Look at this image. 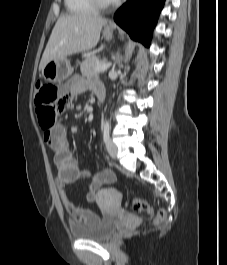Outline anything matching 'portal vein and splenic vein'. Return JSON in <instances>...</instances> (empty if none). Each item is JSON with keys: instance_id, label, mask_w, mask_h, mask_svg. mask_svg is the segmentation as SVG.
<instances>
[{"instance_id": "1", "label": "portal vein and splenic vein", "mask_w": 227, "mask_h": 265, "mask_svg": "<svg viewBox=\"0 0 227 265\" xmlns=\"http://www.w3.org/2000/svg\"><path fill=\"white\" fill-rule=\"evenodd\" d=\"M110 66H111V63H104L102 65H97L95 67V71L103 72V71L107 70Z\"/></svg>"}]
</instances>
